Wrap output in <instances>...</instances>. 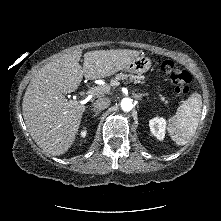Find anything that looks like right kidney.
Instances as JSON below:
<instances>
[{
    "instance_id": "1",
    "label": "right kidney",
    "mask_w": 221,
    "mask_h": 221,
    "mask_svg": "<svg viewBox=\"0 0 221 221\" xmlns=\"http://www.w3.org/2000/svg\"><path fill=\"white\" fill-rule=\"evenodd\" d=\"M86 134H87L86 130H84V131L81 132V136H82V137H85Z\"/></svg>"
}]
</instances>
